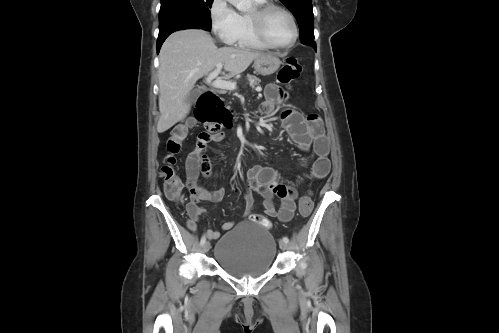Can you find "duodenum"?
I'll return each instance as SVG.
<instances>
[{"instance_id": "410a0bca", "label": "duodenum", "mask_w": 499, "mask_h": 333, "mask_svg": "<svg viewBox=\"0 0 499 333\" xmlns=\"http://www.w3.org/2000/svg\"><path fill=\"white\" fill-rule=\"evenodd\" d=\"M212 92H206L200 96L196 105V116L200 121L210 120L215 122L213 119L216 115L217 109L215 108V104L211 101L210 95ZM214 94V93H213ZM212 127L218 126V124H211Z\"/></svg>"}]
</instances>
